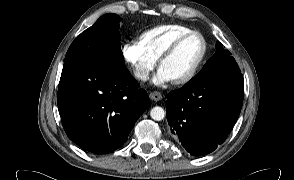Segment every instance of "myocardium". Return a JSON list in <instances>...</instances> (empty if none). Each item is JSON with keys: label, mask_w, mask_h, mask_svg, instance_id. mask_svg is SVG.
<instances>
[{"label": "myocardium", "mask_w": 294, "mask_h": 180, "mask_svg": "<svg viewBox=\"0 0 294 180\" xmlns=\"http://www.w3.org/2000/svg\"><path fill=\"white\" fill-rule=\"evenodd\" d=\"M198 36L201 39L202 42V52L198 58V60L196 61V63L194 64V66L192 67V69L182 78L178 79V80H174L173 83L175 85H184L187 84L188 82H190L198 73V71L200 70L206 55H207V50H208V45H207V41L205 36L197 31V30H191L185 34L180 35L179 37H177L167 48L166 50L162 53V55L159 58V66L161 67V65L163 64V62L165 60H167L175 51L176 49L180 46V44L182 42H184L186 39H188L191 36Z\"/></svg>", "instance_id": "obj_1"}]
</instances>
